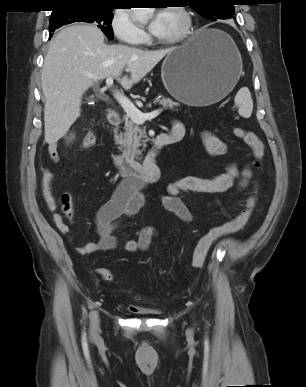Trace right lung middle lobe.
Masks as SVG:
<instances>
[{
	"mask_svg": "<svg viewBox=\"0 0 306 387\" xmlns=\"http://www.w3.org/2000/svg\"><path fill=\"white\" fill-rule=\"evenodd\" d=\"M112 7L104 6H75L68 7L59 12L52 13L49 31H54L63 25L74 22L93 23L99 27L103 33L113 39L111 22L113 19Z\"/></svg>",
	"mask_w": 306,
	"mask_h": 387,
	"instance_id": "1",
	"label": "right lung middle lobe"
}]
</instances>
